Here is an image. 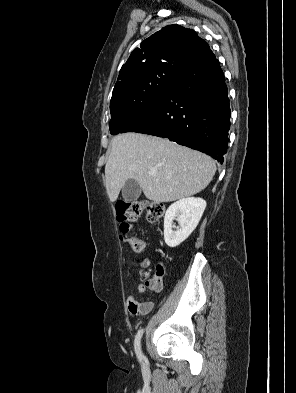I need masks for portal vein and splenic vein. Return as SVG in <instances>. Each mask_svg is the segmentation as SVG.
<instances>
[{
    "label": "portal vein and splenic vein",
    "instance_id": "obj_1",
    "mask_svg": "<svg viewBox=\"0 0 296 393\" xmlns=\"http://www.w3.org/2000/svg\"><path fill=\"white\" fill-rule=\"evenodd\" d=\"M151 175L155 176V175H156V172H151Z\"/></svg>",
    "mask_w": 296,
    "mask_h": 393
}]
</instances>
